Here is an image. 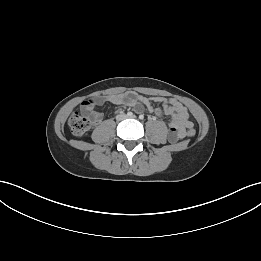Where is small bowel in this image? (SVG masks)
Segmentation results:
<instances>
[{
	"label": "small bowel",
	"mask_w": 261,
	"mask_h": 261,
	"mask_svg": "<svg viewBox=\"0 0 261 261\" xmlns=\"http://www.w3.org/2000/svg\"><path fill=\"white\" fill-rule=\"evenodd\" d=\"M109 101L116 105H125L134 108L138 113H141L144 109L150 112H154L157 115L162 113L161 109L153 106L154 103H161L163 106V112L166 115L171 116L169 126V137L171 141H176L185 136V128L190 124L188 118V111L186 107L174 98L165 97H148L137 94L135 92H127L122 94H112L101 96L84 101L81 104V111L85 114H89L94 123L99 124L103 116L100 112L95 110V107Z\"/></svg>",
	"instance_id": "c3829d8e"
}]
</instances>
